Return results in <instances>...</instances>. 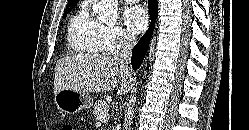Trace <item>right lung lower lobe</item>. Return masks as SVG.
Instances as JSON below:
<instances>
[{
    "label": "right lung lower lobe",
    "instance_id": "1",
    "mask_svg": "<svg viewBox=\"0 0 249 130\" xmlns=\"http://www.w3.org/2000/svg\"><path fill=\"white\" fill-rule=\"evenodd\" d=\"M148 6L151 16L150 28L132 50L131 64L134 70L140 67L147 52L157 17L158 1L149 0Z\"/></svg>",
    "mask_w": 249,
    "mask_h": 130
}]
</instances>
